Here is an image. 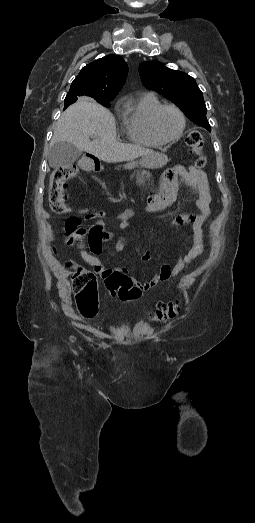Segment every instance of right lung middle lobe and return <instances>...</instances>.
<instances>
[{
	"label": "right lung middle lobe",
	"mask_w": 255,
	"mask_h": 523,
	"mask_svg": "<svg viewBox=\"0 0 255 523\" xmlns=\"http://www.w3.org/2000/svg\"><path fill=\"white\" fill-rule=\"evenodd\" d=\"M110 101L111 100H109V101H98V103H100L104 107H110L111 106L110 103H109Z\"/></svg>",
	"instance_id": "dd1d6c3e"
}]
</instances>
